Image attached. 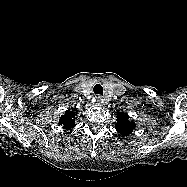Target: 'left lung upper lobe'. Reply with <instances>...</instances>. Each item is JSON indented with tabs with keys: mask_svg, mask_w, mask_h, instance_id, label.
I'll use <instances>...</instances> for the list:
<instances>
[{
	"mask_svg": "<svg viewBox=\"0 0 187 187\" xmlns=\"http://www.w3.org/2000/svg\"><path fill=\"white\" fill-rule=\"evenodd\" d=\"M115 128L120 135L126 136L133 132L135 129V123L133 121H129V116L121 112L117 115Z\"/></svg>",
	"mask_w": 187,
	"mask_h": 187,
	"instance_id": "left-lung-upper-lobe-1",
	"label": "left lung upper lobe"
}]
</instances>
